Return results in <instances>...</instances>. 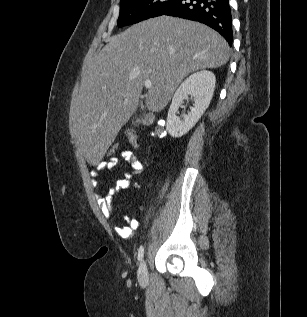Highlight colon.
<instances>
[{
  "label": "colon",
  "instance_id": "colon-1",
  "mask_svg": "<svg viewBox=\"0 0 307 317\" xmlns=\"http://www.w3.org/2000/svg\"><path fill=\"white\" fill-rule=\"evenodd\" d=\"M148 134L151 137H163L165 135V121L163 119L155 120L152 124L148 126ZM126 136L130 146L132 148H136L138 146V136L136 131L131 127L127 128ZM124 150L126 149H124L121 144H111L107 149L106 155L108 159L116 158Z\"/></svg>",
  "mask_w": 307,
  "mask_h": 317
}]
</instances>
